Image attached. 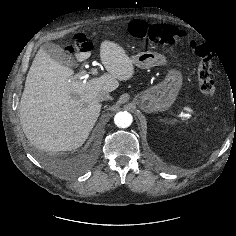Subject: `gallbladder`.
Returning a JSON list of instances; mask_svg holds the SVG:
<instances>
[{
  "label": "gallbladder",
  "instance_id": "bac80fb5",
  "mask_svg": "<svg viewBox=\"0 0 236 236\" xmlns=\"http://www.w3.org/2000/svg\"><path fill=\"white\" fill-rule=\"evenodd\" d=\"M42 49L50 55L55 61L67 67L76 66V61L69 56L63 48L54 43H44Z\"/></svg>",
  "mask_w": 236,
  "mask_h": 236
}]
</instances>
